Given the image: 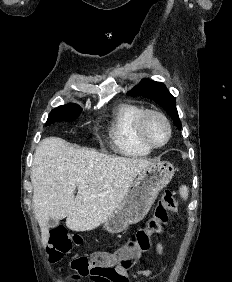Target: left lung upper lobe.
Here are the masks:
<instances>
[{"mask_svg": "<svg viewBox=\"0 0 232 282\" xmlns=\"http://www.w3.org/2000/svg\"><path fill=\"white\" fill-rule=\"evenodd\" d=\"M129 96H142L155 101L170 115L174 124L181 130V123L176 109V99L167 90L166 86L161 82H155L149 79H143L139 85L134 87Z\"/></svg>", "mask_w": 232, "mask_h": 282, "instance_id": "5c2ea615", "label": "left lung upper lobe"}]
</instances>
